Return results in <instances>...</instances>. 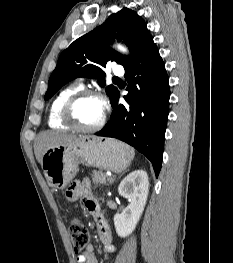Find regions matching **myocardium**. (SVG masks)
I'll use <instances>...</instances> for the list:
<instances>
[{"instance_id": "obj_1", "label": "myocardium", "mask_w": 233, "mask_h": 263, "mask_svg": "<svg viewBox=\"0 0 233 263\" xmlns=\"http://www.w3.org/2000/svg\"><path fill=\"white\" fill-rule=\"evenodd\" d=\"M85 98H96L102 101L103 103V114L99 122L92 127H84L79 124L76 117L74 116L75 106ZM107 102L103 95L93 90H80L72 94L63 104L61 117L62 120L70 127L75 129L78 132L83 133H94L102 129L105 124L107 116Z\"/></svg>"}]
</instances>
